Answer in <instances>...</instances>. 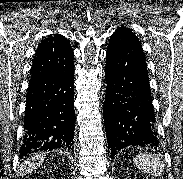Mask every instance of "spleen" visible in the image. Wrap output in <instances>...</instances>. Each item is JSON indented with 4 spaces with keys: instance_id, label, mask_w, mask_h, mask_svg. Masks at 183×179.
I'll return each instance as SVG.
<instances>
[{
    "instance_id": "1",
    "label": "spleen",
    "mask_w": 183,
    "mask_h": 179,
    "mask_svg": "<svg viewBox=\"0 0 183 179\" xmlns=\"http://www.w3.org/2000/svg\"><path fill=\"white\" fill-rule=\"evenodd\" d=\"M134 165L141 171L151 174L152 176H161L164 172L165 165L161 158L152 153H140L134 158Z\"/></svg>"
}]
</instances>
